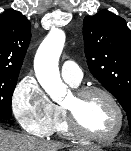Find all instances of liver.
Returning <instances> with one entry per match:
<instances>
[{"mask_svg": "<svg viewBox=\"0 0 131 151\" xmlns=\"http://www.w3.org/2000/svg\"><path fill=\"white\" fill-rule=\"evenodd\" d=\"M68 145L39 140L31 136L16 134L0 128V151H58ZM79 148L73 151H84Z\"/></svg>", "mask_w": 131, "mask_h": 151, "instance_id": "6515ba94", "label": "liver"}]
</instances>
